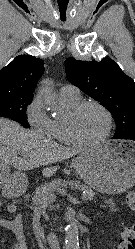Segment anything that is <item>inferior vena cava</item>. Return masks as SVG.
Returning a JSON list of instances; mask_svg holds the SVG:
<instances>
[{
    "instance_id": "obj_1",
    "label": "inferior vena cava",
    "mask_w": 135,
    "mask_h": 249,
    "mask_svg": "<svg viewBox=\"0 0 135 249\" xmlns=\"http://www.w3.org/2000/svg\"><path fill=\"white\" fill-rule=\"evenodd\" d=\"M55 249H59L58 246H56Z\"/></svg>"
}]
</instances>
